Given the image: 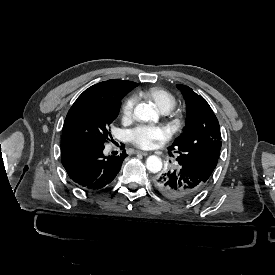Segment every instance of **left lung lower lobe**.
Wrapping results in <instances>:
<instances>
[{"instance_id": "0a47b994", "label": "left lung lower lobe", "mask_w": 275, "mask_h": 275, "mask_svg": "<svg viewBox=\"0 0 275 275\" xmlns=\"http://www.w3.org/2000/svg\"><path fill=\"white\" fill-rule=\"evenodd\" d=\"M154 185L167 199L188 200L197 195L205 183L180 166L157 177Z\"/></svg>"}]
</instances>
